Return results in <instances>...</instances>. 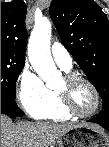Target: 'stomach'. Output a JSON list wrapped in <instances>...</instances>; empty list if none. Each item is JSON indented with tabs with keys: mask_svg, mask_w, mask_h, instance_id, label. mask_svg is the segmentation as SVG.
<instances>
[{
	"mask_svg": "<svg viewBox=\"0 0 109 147\" xmlns=\"http://www.w3.org/2000/svg\"><path fill=\"white\" fill-rule=\"evenodd\" d=\"M57 142L59 147H109V135L104 130L80 126L66 131Z\"/></svg>",
	"mask_w": 109,
	"mask_h": 147,
	"instance_id": "0dacf381",
	"label": "stomach"
}]
</instances>
